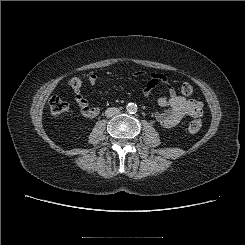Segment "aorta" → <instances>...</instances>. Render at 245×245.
I'll use <instances>...</instances> for the list:
<instances>
[{
    "label": "aorta",
    "instance_id": "obj_1",
    "mask_svg": "<svg viewBox=\"0 0 245 245\" xmlns=\"http://www.w3.org/2000/svg\"><path fill=\"white\" fill-rule=\"evenodd\" d=\"M126 109L129 113H136L137 112V105L135 103H129L126 106Z\"/></svg>",
    "mask_w": 245,
    "mask_h": 245
}]
</instances>
